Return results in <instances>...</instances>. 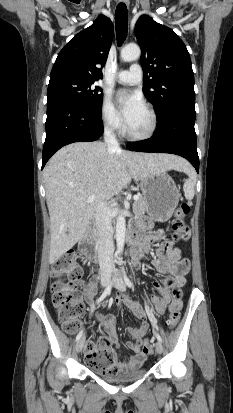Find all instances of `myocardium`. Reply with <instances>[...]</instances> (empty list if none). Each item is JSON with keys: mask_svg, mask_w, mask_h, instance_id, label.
<instances>
[{"mask_svg": "<svg viewBox=\"0 0 233 413\" xmlns=\"http://www.w3.org/2000/svg\"><path fill=\"white\" fill-rule=\"evenodd\" d=\"M145 110L147 111V114L149 116V127L147 129L146 132L141 133V134H135L132 133L128 126H126L125 128V135L128 139L132 140V141H145L148 140L150 138H152L158 128V118L156 115L155 110L149 105V104H145L144 106Z\"/></svg>", "mask_w": 233, "mask_h": 413, "instance_id": "f54148a6", "label": "myocardium"}]
</instances>
